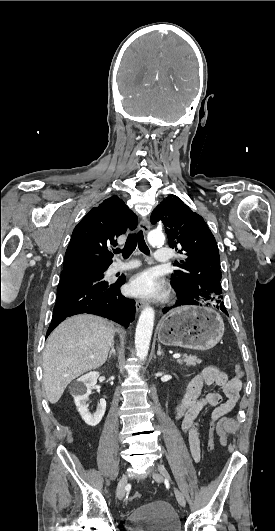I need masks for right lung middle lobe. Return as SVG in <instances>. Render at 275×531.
Wrapping results in <instances>:
<instances>
[{"instance_id": "1", "label": "right lung middle lobe", "mask_w": 275, "mask_h": 531, "mask_svg": "<svg viewBox=\"0 0 275 531\" xmlns=\"http://www.w3.org/2000/svg\"><path fill=\"white\" fill-rule=\"evenodd\" d=\"M78 267H90V268H93L101 273H104L106 270H107V267L108 266H95V265H82V266H78Z\"/></svg>"}]
</instances>
